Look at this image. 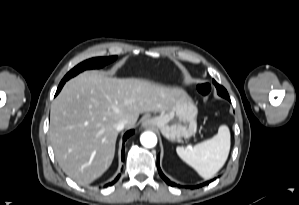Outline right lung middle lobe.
Here are the masks:
<instances>
[{"label":"right lung middle lobe","instance_id":"obj_1","mask_svg":"<svg viewBox=\"0 0 299 205\" xmlns=\"http://www.w3.org/2000/svg\"><path fill=\"white\" fill-rule=\"evenodd\" d=\"M116 58L117 56H111V57H97V58L86 60L78 64L77 66H75L72 70H70L66 74V76L62 79L61 82L65 83L68 79L76 76L78 73L82 72L83 70L101 68L106 64L113 62Z\"/></svg>","mask_w":299,"mask_h":205}]
</instances>
